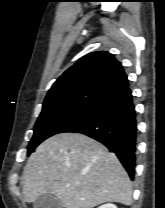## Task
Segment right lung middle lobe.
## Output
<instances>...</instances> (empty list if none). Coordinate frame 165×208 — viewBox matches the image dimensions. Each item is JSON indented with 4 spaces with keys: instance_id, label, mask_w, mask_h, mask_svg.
I'll return each instance as SVG.
<instances>
[{
    "instance_id": "right-lung-middle-lobe-1",
    "label": "right lung middle lobe",
    "mask_w": 165,
    "mask_h": 208,
    "mask_svg": "<svg viewBox=\"0 0 165 208\" xmlns=\"http://www.w3.org/2000/svg\"><path fill=\"white\" fill-rule=\"evenodd\" d=\"M95 104L63 103L42 108L29 143V155L45 139L66 131L88 115Z\"/></svg>"
}]
</instances>
